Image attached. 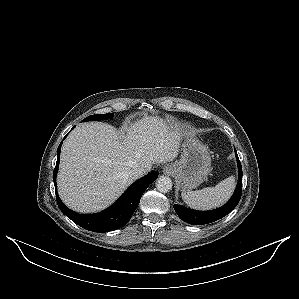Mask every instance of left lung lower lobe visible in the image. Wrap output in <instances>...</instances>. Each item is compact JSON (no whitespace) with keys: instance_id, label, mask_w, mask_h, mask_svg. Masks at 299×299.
Listing matches in <instances>:
<instances>
[{"instance_id":"obj_1","label":"left lung lower lobe","mask_w":299,"mask_h":299,"mask_svg":"<svg viewBox=\"0 0 299 299\" xmlns=\"http://www.w3.org/2000/svg\"><path fill=\"white\" fill-rule=\"evenodd\" d=\"M236 158L239 177L237 187L231 199L224 206L210 211H196L175 204L174 209L183 221L192 225L212 223L229 214L237 206L242 194V167L237 152Z\"/></svg>"}]
</instances>
